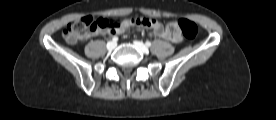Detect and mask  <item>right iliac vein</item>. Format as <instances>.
<instances>
[{
    "mask_svg": "<svg viewBox=\"0 0 276 120\" xmlns=\"http://www.w3.org/2000/svg\"><path fill=\"white\" fill-rule=\"evenodd\" d=\"M116 46H117V43H116V42L111 41V42H108V43H107V49H108L109 51L114 50V49L116 48Z\"/></svg>",
    "mask_w": 276,
    "mask_h": 120,
    "instance_id": "obj_1",
    "label": "right iliac vein"
}]
</instances>
